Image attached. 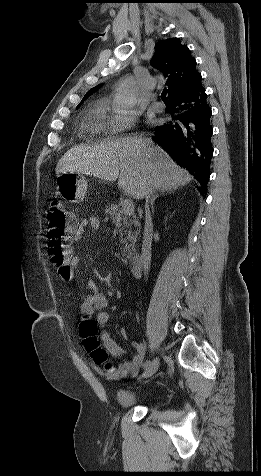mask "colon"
<instances>
[{"instance_id": "5ec220e1", "label": "colon", "mask_w": 261, "mask_h": 476, "mask_svg": "<svg viewBox=\"0 0 261 476\" xmlns=\"http://www.w3.org/2000/svg\"><path fill=\"white\" fill-rule=\"evenodd\" d=\"M47 219V251L50 260L57 267L62 278L68 280L72 276L69 266V242L74 238L78 226L75 216L68 212L60 201L54 200L46 207ZM80 334L86 350L93 360L103 364L107 360V352L96 337L97 328L94 320L85 317L80 324Z\"/></svg>"}]
</instances>
